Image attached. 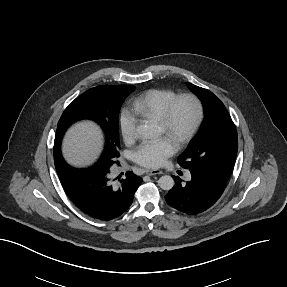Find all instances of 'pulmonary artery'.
I'll list each match as a JSON object with an SVG mask.
<instances>
[{"instance_id": "pulmonary-artery-1", "label": "pulmonary artery", "mask_w": 287, "mask_h": 287, "mask_svg": "<svg viewBox=\"0 0 287 287\" xmlns=\"http://www.w3.org/2000/svg\"><path fill=\"white\" fill-rule=\"evenodd\" d=\"M186 179H187V180H190V179H191L190 173H187V174H186Z\"/></svg>"}]
</instances>
